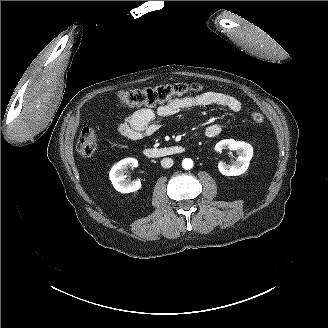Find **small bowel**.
Wrapping results in <instances>:
<instances>
[{"label":"small bowel","mask_w":328,"mask_h":328,"mask_svg":"<svg viewBox=\"0 0 328 328\" xmlns=\"http://www.w3.org/2000/svg\"><path fill=\"white\" fill-rule=\"evenodd\" d=\"M208 106H217L233 112L242 110L241 101L235 96L215 91H208L194 96L170 99L159 107L141 108L125 115L117 124L118 133L130 140L138 141L157 132L160 128L158 119L167 118L183 111ZM222 128L217 123L208 125L205 134L209 138L220 135Z\"/></svg>","instance_id":"obj_1"}]
</instances>
